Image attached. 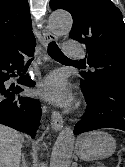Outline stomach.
I'll return each mask as SVG.
<instances>
[{"instance_id":"obj_1","label":"stomach","mask_w":125,"mask_h":167,"mask_svg":"<svg viewBox=\"0 0 125 167\" xmlns=\"http://www.w3.org/2000/svg\"><path fill=\"white\" fill-rule=\"evenodd\" d=\"M116 150V141L108 133L94 131L81 135L76 142V152L85 161L104 159Z\"/></svg>"}]
</instances>
